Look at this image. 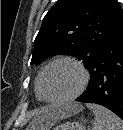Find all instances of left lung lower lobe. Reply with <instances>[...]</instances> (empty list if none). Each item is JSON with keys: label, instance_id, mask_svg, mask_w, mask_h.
<instances>
[{"label": "left lung lower lobe", "instance_id": "left-lung-lower-lobe-1", "mask_svg": "<svg viewBox=\"0 0 123 130\" xmlns=\"http://www.w3.org/2000/svg\"><path fill=\"white\" fill-rule=\"evenodd\" d=\"M90 84L78 102L102 105L123 119V24L89 68Z\"/></svg>", "mask_w": 123, "mask_h": 130}]
</instances>
